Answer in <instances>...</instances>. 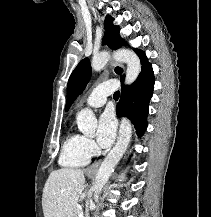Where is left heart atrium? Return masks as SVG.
Here are the masks:
<instances>
[{"label": "left heart atrium", "mask_w": 211, "mask_h": 217, "mask_svg": "<svg viewBox=\"0 0 211 217\" xmlns=\"http://www.w3.org/2000/svg\"><path fill=\"white\" fill-rule=\"evenodd\" d=\"M116 136V122L111 112H105L99 119L97 129L98 144L103 147H109Z\"/></svg>", "instance_id": "39dd6f15"}]
</instances>
